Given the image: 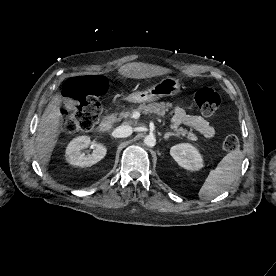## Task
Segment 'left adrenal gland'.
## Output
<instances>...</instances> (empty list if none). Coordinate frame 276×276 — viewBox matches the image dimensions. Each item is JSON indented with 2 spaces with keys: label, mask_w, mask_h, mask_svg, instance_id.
I'll return each mask as SVG.
<instances>
[{
  "label": "left adrenal gland",
  "mask_w": 276,
  "mask_h": 276,
  "mask_svg": "<svg viewBox=\"0 0 276 276\" xmlns=\"http://www.w3.org/2000/svg\"><path fill=\"white\" fill-rule=\"evenodd\" d=\"M170 136H178L177 134L173 133V132H167L163 138L164 140H167Z\"/></svg>",
  "instance_id": "left-adrenal-gland-1"
}]
</instances>
